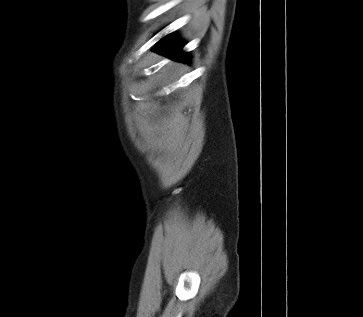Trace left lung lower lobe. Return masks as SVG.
<instances>
[{"label": "left lung lower lobe", "mask_w": 363, "mask_h": 317, "mask_svg": "<svg viewBox=\"0 0 363 317\" xmlns=\"http://www.w3.org/2000/svg\"><path fill=\"white\" fill-rule=\"evenodd\" d=\"M182 47L183 44L180 41L174 36L168 35L157 43L154 50L160 54L172 57L176 61L188 62L187 54L179 52Z\"/></svg>", "instance_id": "obj_1"}]
</instances>
